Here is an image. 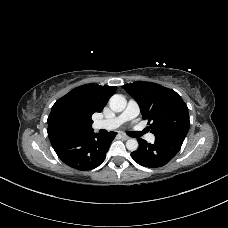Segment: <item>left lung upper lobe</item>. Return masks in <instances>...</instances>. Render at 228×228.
Here are the masks:
<instances>
[{
	"label": "left lung upper lobe",
	"mask_w": 228,
	"mask_h": 228,
	"mask_svg": "<svg viewBox=\"0 0 228 228\" xmlns=\"http://www.w3.org/2000/svg\"><path fill=\"white\" fill-rule=\"evenodd\" d=\"M123 88L139 104L143 119L151 122L155 137L185 138L190 126L188 107L174 90L143 81L125 84Z\"/></svg>",
	"instance_id": "left-lung-upper-lobe-1"
}]
</instances>
